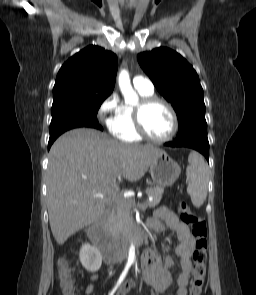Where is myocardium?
Instances as JSON below:
<instances>
[{
    "instance_id": "1",
    "label": "myocardium",
    "mask_w": 256,
    "mask_h": 295,
    "mask_svg": "<svg viewBox=\"0 0 256 295\" xmlns=\"http://www.w3.org/2000/svg\"><path fill=\"white\" fill-rule=\"evenodd\" d=\"M155 103H160L162 105H164L168 111L171 114L172 117V130L169 133V135L162 137V138H157L152 136L146 129L144 122H143V113L144 111L151 105L155 104ZM133 119H134V126L135 129L137 131V133L144 139L149 140L151 142L154 143H165L170 141L175 134L178 131V127H179V122H178V117L176 114L175 109L173 108V106L165 99L158 97V96H149V97H144L141 98L139 103L134 107L133 110Z\"/></svg>"
}]
</instances>
